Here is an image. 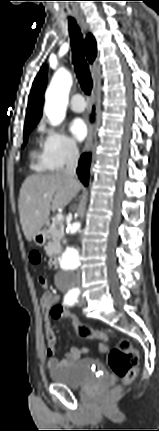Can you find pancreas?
I'll return each mask as SVG.
<instances>
[{
  "mask_svg": "<svg viewBox=\"0 0 159 431\" xmlns=\"http://www.w3.org/2000/svg\"><path fill=\"white\" fill-rule=\"evenodd\" d=\"M48 235L50 241L48 242L45 250L48 256H53L59 253L61 250L60 241L64 237L63 221H56L53 219V223L48 229Z\"/></svg>",
  "mask_w": 159,
  "mask_h": 431,
  "instance_id": "1",
  "label": "pancreas"
}]
</instances>
